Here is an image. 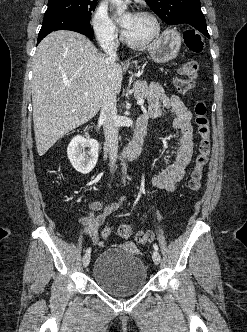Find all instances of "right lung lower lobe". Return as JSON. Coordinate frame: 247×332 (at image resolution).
Segmentation results:
<instances>
[{
    "label": "right lung lower lobe",
    "mask_w": 247,
    "mask_h": 332,
    "mask_svg": "<svg viewBox=\"0 0 247 332\" xmlns=\"http://www.w3.org/2000/svg\"><path fill=\"white\" fill-rule=\"evenodd\" d=\"M89 22L90 20L74 15L44 16L37 43L52 31L57 30H71L86 36H92L93 30Z\"/></svg>",
    "instance_id": "right-lung-lower-lobe-1"
}]
</instances>
